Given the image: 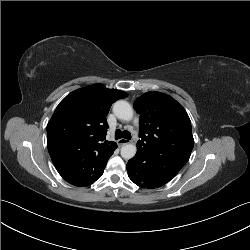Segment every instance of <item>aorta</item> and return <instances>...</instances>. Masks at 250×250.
Segmentation results:
<instances>
[{
	"instance_id": "762f6f07",
	"label": "aorta",
	"mask_w": 250,
	"mask_h": 250,
	"mask_svg": "<svg viewBox=\"0 0 250 250\" xmlns=\"http://www.w3.org/2000/svg\"><path fill=\"white\" fill-rule=\"evenodd\" d=\"M113 112L117 116V118L130 121L133 118V109L131 105L125 100H118L113 105ZM137 148L134 144H125L121 148V156L124 159H131L135 156Z\"/></svg>"
}]
</instances>
